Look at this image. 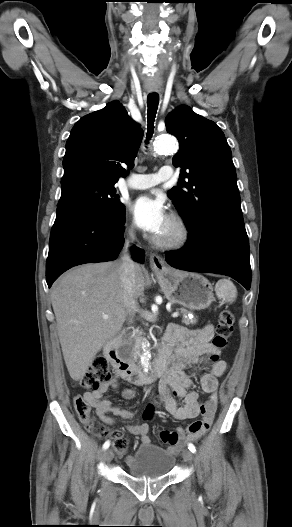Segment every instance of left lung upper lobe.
<instances>
[{
  "label": "left lung upper lobe",
  "instance_id": "5c2ea615",
  "mask_svg": "<svg viewBox=\"0 0 292 527\" xmlns=\"http://www.w3.org/2000/svg\"><path fill=\"white\" fill-rule=\"evenodd\" d=\"M165 124L180 143L173 164L182 167L180 186L168 196L188 231L217 221L243 222L232 154L221 129L187 106L171 112Z\"/></svg>",
  "mask_w": 292,
  "mask_h": 527
}]
</instances>
